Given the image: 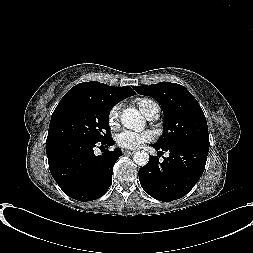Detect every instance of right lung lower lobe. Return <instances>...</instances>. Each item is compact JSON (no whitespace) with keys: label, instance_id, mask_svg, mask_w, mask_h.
Segmentation results:
<instances>
[{"label":"right lung lower lobe","instance_id":"right-lung-lower-lobe-1","mask_svg":"<svg viewBox=\"0 0 253 253\" xmlns=\"http://www.w3.org/2000/svg\"><path fill=\"white\" fill-rule=\"evenodd\" d=\"M114 141L79 138L64 139L46 144L50 172L59 187L78 201H92L102 197L112 183L113 166L122 155L121 149L94 154V147L108 148Z\"/></svg>","mask_w":253,"mask_h":253}]
</instances>
